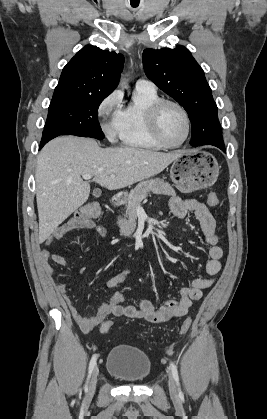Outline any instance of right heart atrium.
I'll use <instances>...</instances> for the list:
<instances>
[{
  "instance_id": "right-heart-atrium-1",
  "label": "right heart atrium",
  "mask_w": 267,
  "mask_h": 419,
  "mask_svg": "<svg viewBox=\"0 0 267 419\" xmlns=\"http://www.w3.org/2000/svg\"><path fill=\"white\" fill-rule=\"evenodd\" d=\"M121 103L120 94L116 91L106 96L97 108V115L101 121V128L106 137L114 140L118 135V113Z\"/></svg>"
}]
</instances>
